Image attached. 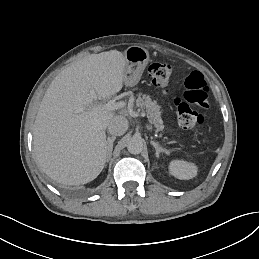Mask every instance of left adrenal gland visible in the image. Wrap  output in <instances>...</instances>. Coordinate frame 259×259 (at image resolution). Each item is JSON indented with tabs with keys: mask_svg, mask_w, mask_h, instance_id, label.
<instances>
[{
	"mask_svg": "<svg viewBox=\"0 0 259 259\" xmlns=\"http://www.w3.org/2000/svg\"><path fill=\"white\" fill-rule=\"evenodd\" d=\"M150 143L153 145V147L156 150V156L159 157L160 152H164L165 154L169 155L171 150H167L165 148H162L158 142H155L153 140L150 141Z\"/></svg>",
	"mask_w": 259,
	"mask_h": 259,
	"instance_id": "obj_1",
	"label": "left adrenal gland"
}]
</instances>
